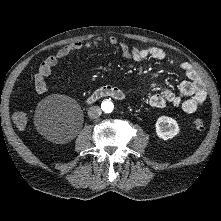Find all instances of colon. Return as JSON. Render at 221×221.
<instances>
[{
  "instance_id": "colon-1",
  "label": "colon",
  "mask_w": 221,
  "mask_h": 221,
  "mask_svg": "<svg viewBox=\"0 0 221 221\" xmlns=\"http://www.w3.org/2000/svg\"><path fill=\"white\" fill-rule=\"evenodd\" d=\"M27 119H28L27 114L23 111L16 112L13 115V121L19 129L25 128V126L27 124ZM192 128L196 132H202L205 129V124H204L203 120L196 119L192 123Z\"/></svg>"
}]
</instances>
